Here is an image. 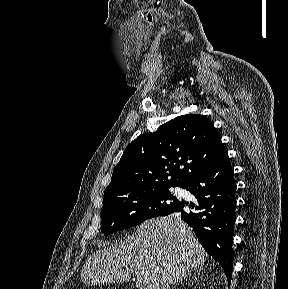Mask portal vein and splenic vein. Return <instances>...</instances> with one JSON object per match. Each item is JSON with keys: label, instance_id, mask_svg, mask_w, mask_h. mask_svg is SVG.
I'll use <instances>...</instances> for the list:
<instances>
[{"label": "portal vein and splenic vein", "instance_id": "obj_1", "mask_svg": "<svg viewBox=\"0 0 288 289\" xmlns=\"http://www.w3.org/2000/svg\"><path fill=\"white\" fill-rule=\"evenodd\" d=\"M142 280H143L142 277L137 276V280H136V285H137V287L140 286Z\"/></svg>", "mask_w": 288, "mask_h": 289}]
</instances>
